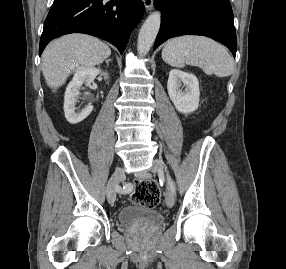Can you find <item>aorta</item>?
Returning <instances> with one entry per match:
<instances>
[{"instance_id":"1","label":"aorta","mask_w":286,"mask_h":269,"mask_svg":"<svg viewBox=\"0 0 286 269\" xmlns=\"http://www.w3.org/2000/svg\"><path fill=\"white\" fill-rule=\"evenodd\" d=\"M161 24V15L159 11L151 13L144 21L138 35L137 50L140 55L149 52L153 45Z\"/></svg>"}]
</instances>
